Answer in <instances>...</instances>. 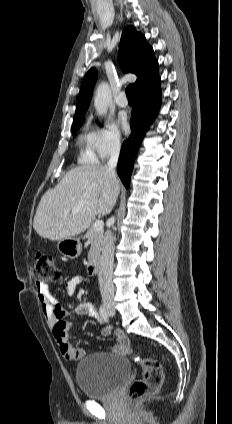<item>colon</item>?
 <instances>
[{"label": "colon", "mask_w": 232, "mask_h": 424, "mask_svg": "<svg viewBox=\"0 0 232 424\" xmlns=\"http://www.w3.org/2000/svg\"><path fill=\"white\" fill-rule=\"evenodd\" d=\"M34 274L37 281L46 283H54L62 278L54 257L42 252L35 254ZM136 361L144 371V377L131 384L128 391L130 403L156 394L163 381L162 368L157 360L137 357Z\"/></svg>", "instance_id": "5ec220e1"}]
</instances>
